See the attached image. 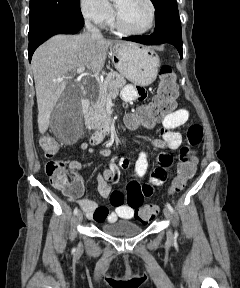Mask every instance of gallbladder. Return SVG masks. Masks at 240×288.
Segmentation results:
<instances>
[{
    "label": "gallbladder",
    "instance_id": "gallbladder-1",
    "mask_svg": "<svg viewBox=\"0 0 240 288\" xmlns=\"http://www.w3.org/2000/svg\"><path fill=\"white\" fill-rule=\"evenodd\" d=\"M80 110L79 97L67 87L59 98L58 103L53 109L50 122L63 121L67 117H71L75 112Z\"/></svg>",
    "mask_w": 240,
    "mask_h": 288
}]
</instances>
